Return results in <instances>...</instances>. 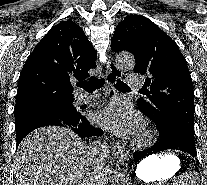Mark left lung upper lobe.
Returning <instances> with one entry per match:
<instances>
[{"label":"left lung upper lobe","instance_id":"left-lung-upper-lobe-1","mask_svg":"<svg viewBox=\"0 0 207 185\" xmlns=\"http://www.w3.org/2000/svg\"><path fill=\"white\" fill-rule=\"evenodd\" d=\"M111 48L131 52L134 71L146 75L143 90L147 97L137 99L140 111L159 131L176 125L194 138L192 79L176 43L148 18L129 15L117 25Z\"/></svg>","mask_w":207,"mask_h":185}]
</instances>
